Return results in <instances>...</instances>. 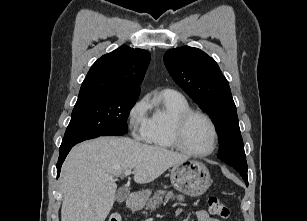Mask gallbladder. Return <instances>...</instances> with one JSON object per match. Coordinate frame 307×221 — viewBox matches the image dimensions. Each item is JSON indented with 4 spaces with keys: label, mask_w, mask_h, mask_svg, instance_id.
I'll return each instance as SVG.
<instances>
[{
    "label": "gallbladder",
    "mask_w": 307,
    "mask_h": 221,
    "mask_svg": "<svg viewBox=\"0 0 307 221\" xmlns=\"http://www.w3.org/2000/svg\"><path fill=\"white\" fill-rule=\"evenodd\" d=\"M125 190L123 188L119 189L116 193V200L118 202H123L125 200Z\"/></svg>",
    "instance_id": "bac80fb5"
}]
</instances>
